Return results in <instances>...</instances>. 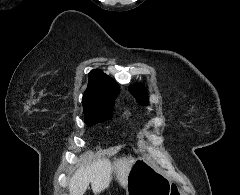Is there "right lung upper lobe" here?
I'll list each match as a JSON object with an SVG mask.
<instances>
[{"mask_svg":"<svg viewBox=\"0 0 240 195\" xmlns=\"http://www.w3.org/2000/svg\"><path fill=\"white\" fill-rule=\"evenodd\" d=\"M119 93V85L102 71L95 69L89 73L87 89L82 102H112Z\"/></svg>","mask_w":240,"mask_h":195,"instance_id":"1","label":"right lung upper lobe"}]
</instances>
